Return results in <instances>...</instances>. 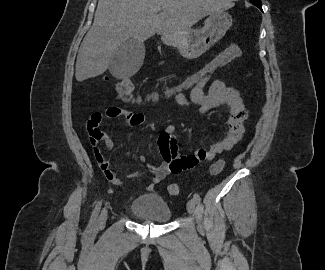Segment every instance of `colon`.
Returning <instances> with one entry per match:
<instances>
[{"label":"colon","instance_id":"1","mask_svg":"<svg viewBox=\"0 0 325 270\" xmlns=\"http://www.w3.org/2000/svg\"><path fill=\"white\" fill-rule=\"evenodd\" d=\"M241 55L242 51L238 45H230L203 67L188 75L180 83L168 86L162 90L151 91L145 95L136 96L134 93V82L129 78L121 79L116 85L117 97L126 103H156L163 100L175 99L177 96L185 94L186 91L198 86L219 68L239 58ZM88 132L92 145H96V143L104 137L102 131L95 126L88 128ZM224 164L223 160H218L211 165L209 173L211 175L219 174L223 170ZM168 191L170 195L176 196L180 193L181 189L178 184H171L168 187Z\"/></svg>","mask_w":325,"mask_h":270}]
</instances>
